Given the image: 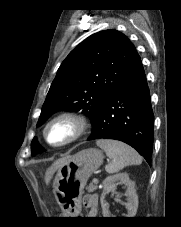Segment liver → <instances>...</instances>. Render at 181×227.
Listing matches in <instances>:
<instances>
[{
    "instance_id": "1",
    "label": "liver",
    "mask_w": 181,
    "mask_h": 227,
    "mask_svg": "<svg viewBox=\"0 0 181 227\" xmlns=\"http://www.w3.org/2000/svg\"><path fill=\"white\" fill-rule=\"evenodd\" d=\"M71 158V156H66V157H63V158H60L58 160H56L50 168H48L46 170V173H45V182L46 184H49L54 173L62 166L64 165L66 162L69 161V159Z\"/></svg>"
}]
</instances>
